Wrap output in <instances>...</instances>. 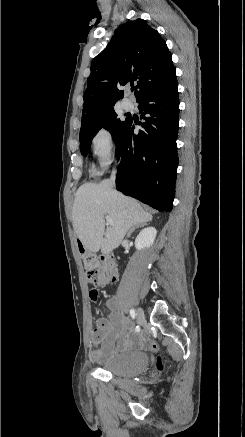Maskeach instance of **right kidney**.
Instances as JSON below:
<instances>
[{"instance_id":"ca27d5eb","label":"right kidney","mask_w":245,"mask_h":437,"mask_svg":"<svg viewBox=\"0 0 245 437\" xmlns=\"http://www.w3.org/2000/svg\"><path fill=\"white\" fill-rule=\"evenodd\" d=\"M157 231L154 227H148L138 234V236L135 239V247L137 250H143L145 248H149L152 246L155 237H156Z\"/></svg>"}]
</instances>
